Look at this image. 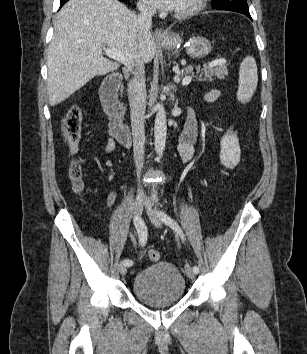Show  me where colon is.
Listing matches in <instances>:
<instances>
[{
    "label": "colon",
    "instance_id": "5ec220e1",
    "mask_svg": "<svg viewBox=\"0 0 307 354\" xmlns=\"http://www.w3.org/2000/svg\"><path fill=\"white\" fill-rule=\"evenodd\" d=\"M81 120L82 114L79 106L71 105L63 118V132L65 142L71 153H76L81 138ZM69 176L75 190L81 191L83 188L82 169L77 161H72L69 167ZM141 256L147 257L151 261H158L160 254L156 250H149Z\"/></svg>",
    "mask_w": 307,
    "mask_h": 354
}]
</instances>
